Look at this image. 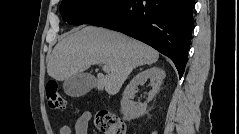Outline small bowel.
<instances>
[{
    "label": "small bowel",
    "mask_w": 239,
    "mask_h": 134,
    "mask_svg": "<svg viewBox=\"0 0 239 134\" xmlns=\"http://www.w3.org/2000/svg\"><path fill=\"white\" fill-rule=\"evenodd\" d=\"M91 119V113L83 112L75 122L74 132L71 127L63 125L59 129V134H88V126Z\"/></svg>",
    "instance_id": "obj_1"
}]
</instances>
